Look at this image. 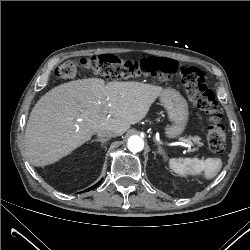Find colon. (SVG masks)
Masks as SVG:
<instances>
[{
	"mask_svg": "<svg viewBox=\"0 0 250 250\" xmlns=\"http://www.w3.org/2000/svg\"><path fill=\"white\" fill-rule=\"evenodd\" d=\"M83 70L110 79L150 76L159 81L176 77L181 80L189 100L208 117L206 140L211 151L220 153L226 145L227 133L222 124V111L213 92L208 88L205 73L196 65L178 64L171 59L142 58L120 59L105 54L68 60L61 64L56 75L71 80Z\"/></svg>",
	"mask_w": 250,
	"mask_h": 250,
	"instance_id": "1",
	"label": "colon"
}]
</instances>
